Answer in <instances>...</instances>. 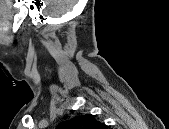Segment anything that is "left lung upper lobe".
<instances>
[{"mask_svg":"<svg viewBox=\"0 0 169 129\" xmlns=\"http://www.w3.org/2000/svg\"><path fill=\"white\" fill-rule=\"evenodd\" d=\"M57 129H105V125L97 121L93 115L86 114L60 123Z\"/></svg>","mask_w":169,"mask_h":129,"instance_id":"1","label":"left lung upper lobe"}]
</instances>
